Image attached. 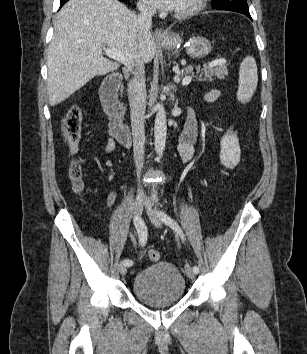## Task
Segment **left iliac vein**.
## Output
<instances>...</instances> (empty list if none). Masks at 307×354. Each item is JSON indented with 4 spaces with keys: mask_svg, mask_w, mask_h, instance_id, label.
Wrapping results in <instances>:
<instances>
[{
    "mask_svg": "<svg viewBox=\"0 0 307 354\" xmlns=\"http://www.w3.org/2000/svg\"><path fill=\"white\" fill-rule=\"evenodd\" d=\"M146 211H147V213L149 215V218H150L151 222L156 227H161V220H160V217L158 215V212L152 207V205L149 202L146 203ZM185 273L190 279H193L195 277V275H196L189 265L185 266Z\"/></svg>",
    "mask_w": 307,
    "mask_h": 354,
    "instance_id": "left-iliac-vein-1",
    "label": "left iliac vein"
}]
</instances>
